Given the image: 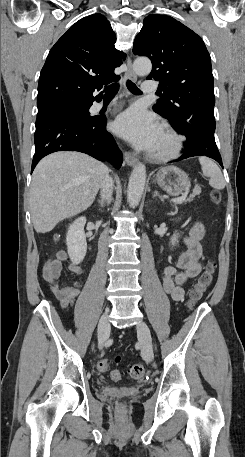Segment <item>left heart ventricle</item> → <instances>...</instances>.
Listing matches in <instances>:
<instances>
[{"label": "left heart ventricle", "mask_w": 245, "mask_h": 457, "mask_svg": "<svg viewBox=\"0 0 245 457\" xmlns=\"http://www.w3.org/2000/svg\"><path fill=\"white\" fill-rule=\"evenodd\" d=\"M168 143H169V140L166 139L165 137H163L161 134L155 147H160V146L166 145Z\"/></svg>", "instance_id": "1"}]
</instances>
